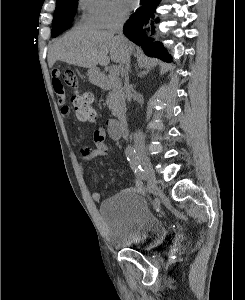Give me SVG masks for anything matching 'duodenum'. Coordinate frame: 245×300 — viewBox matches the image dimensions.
I'll list each match as a JSON object with an SVG mask.
<instances>
[{
  "label": "duodenum",
  "instance_id": "1",
  "mask_svg": "<svg viewBox=\"0 0 245 300\" xmlns=\"http://www.w3.org/2000/svg\"><path fill=\"white\" fill-rule=\"evenodd\" d=\"M95 79L97 81V83L100 86L106 87L107 86V80L105 79V77L99 73L95 74ZM117 121L119 123V126L123 132L124 135H127V131H128V119H127V115L125 112L123 111H117Z\"/></svg>",
  "mask_w": 245,
  "mask_h": 300
}]
</instances>
